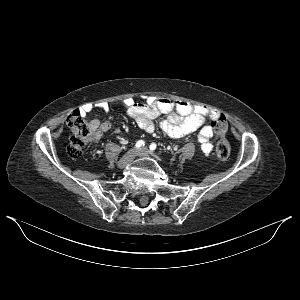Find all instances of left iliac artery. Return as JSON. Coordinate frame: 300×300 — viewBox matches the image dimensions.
Segmentation results:
<instances>
[{"instance_id":"1","label":"left iliac artery","mask_w":300,"mask_h":300,"mask_svg":"<svg viewBox=\"0 0 300 300\" xmlns=\"http://www.w3.org/2000/svg\"><path fill=\"white\" fill-rule=\"evenodd\" d=\"M150 151L153 152L155 149H156V144L155 143H152L150 146Z\"/></svg>"}]
</instances>
